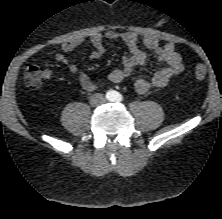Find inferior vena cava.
I'll list each match as a JSON object with an SVG mask.
<instances>
[{
  "mask_svg": "<svg viewBox=\"0 0 222 219\" xmlns=\"http://www.w3.org/2000/svg\"><path fill=\"white\" fill-rule=\"evenodd\" d=\"M105 102V98L103 97L102 94H94L91 98V104L93 106H96V105H101L102 103Z\"/></svg>",
  "mask_w": 222,
  "mask_h": 219,
  "instance_id": "602c4592",
  "label": "inferior vena cava"
}]
</instances>
